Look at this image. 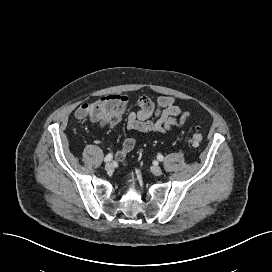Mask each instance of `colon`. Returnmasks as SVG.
Wrapping results in <instances>:
<instances>
[{"label":"colon","instance_id":"colon-1","mask_svg":"<svg viewBox=\"0 0 272 272\" xmlns=\"http://www.w3.org/2000/svg\"><path fill=\"white\" fill-rule=\"evenodd\" d=\"M203 140V136L200 132L196 131L189 139V143L193 146L199 145Z\"/></svg>","mask_w":272,"mask_h":272}]
</instances>
